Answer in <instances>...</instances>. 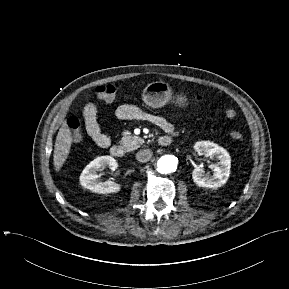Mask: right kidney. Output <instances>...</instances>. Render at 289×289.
I'll list each match as a JSON object with an SVG mask.
<instances>
[{"instance_id":"right-kidney-1","label":"right kidney","mask_w":289,"mask_h":289,"mask_svg":"<svg viewBox=\"0 0 289 289\" xmlns=\"http://www.w3.org/2000/svg\"><path fill=\"white\" fill-rule=\"evenodd\" d=\"M107 166L115 170L118 166L116 160L111 156H100L91 161L80 175V184L92 192L98 194L117 193L121 186L111 180L102 182L97 175V171Z\"/></svg>"}]
</instances>
